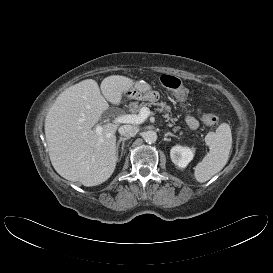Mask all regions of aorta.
<instances>
[{"label":"aorta","mask_w":273,"mask_h":273,"mask_svg":"<svg viewBox=\"0 0 273 273\" xmlns=\"http://www.w3.org/2000/svg\"><path fill=\"white\" fill-rule=\"evenodd\" d=\"M143 138L146 141V143L149 144L155 143L157 140V133L153 130L146 131L143 134Z\"/></svg>","instance_id":"762f6f07"}]
</instances>
